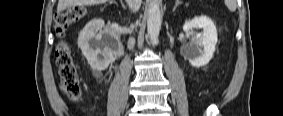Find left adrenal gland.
Returning a JSON list of instances; mask_svg holds the SVG:
<instances>
[{
	"label": "left adrenal gland",
	"instance_id": "obj_1",
	"mask_svg": "<svg viewBox=\"0 0 283 116\" xmlns=\"http://www.w3.org/2000/svg\"><path fill=\"white\" fill-rule=\"evenodd\" d=\"M181 2L180 1H175V6L173 8V12L176 10L177 6L180 4Z\"/></svg>",
	"mask_w": 283,
	"mask_h": 116
}]
</instances>
